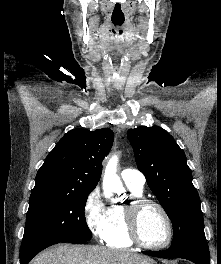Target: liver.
I'll return each mask as SVG.
<instances>
[{"mask_svg":"<svg viewBox=\"0 0 221 264\" xmlns=\"http://www.w3.org/2000/svg\"><path fill=\"white\" fill-rule=\"evenodd\" d=\"M151 259L123 250L94 245H59L47 249L29 264H150Z\"/></svg>","mask_w":221,"mask_h":264,"instance_id":"1","label":"liver"}]
</instances>
